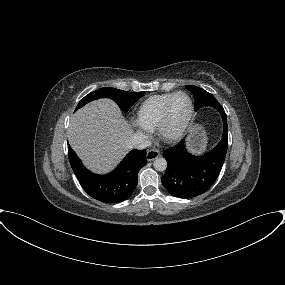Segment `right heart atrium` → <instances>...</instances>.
Wrapping results in <instances>:
<instances>
[{
	"label": "right heart atrium",
	"mask_w": 285,
	"mask_h": 285,
	"mask_svg": "<svg viewBox=\"0 0 285 285\" xmlns=\"http://www.w3.org/2000/svg\"><path fill=\"white\" fill-rule=\"evenodd\" d=\"M139 129L142 130V131H143V130H147V129H145V128L142 127V126H139Z\"/></svg>",
	"instance_id": "d8ad5b80"
}]
</instances>
